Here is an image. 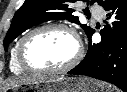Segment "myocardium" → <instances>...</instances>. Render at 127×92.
Returning a JSON list of instances; mask_svg holds the SVG:
<instances>
[{"mask_svg":"<svg viewBox=\"0 0 127 92\" xmlns=\"http://www.w3.org/2000/svg\"><path fill=\"white\" fill-rule=\"evenodd\" d=\"M48 30H63L68 32L76 42L77 45L76 53L70 61H68L65 65L59 68H53V69L35 68L31 66L26 59V55H25L26 46L33 37ZM81 57H82V46L77 32L71 26L63 23H50L31 30L20 39L17 46V60L19 65L26 72L32 74L65 73L71 70L73 67H75L79 63Z\"/></svg>","mask_w":127,"mask_h":92,"instance_id":"f54148a6","label":"myocardium"}]
</instances>
